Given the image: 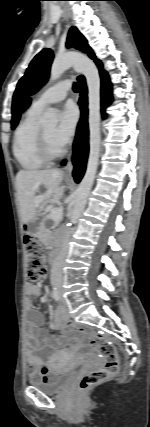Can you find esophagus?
Wrapping results in <instances>:
<instances>
[{
	"mask_svg": "<svg viewBox=\"0 0 150 427\" xmlns=\"http://www.w3.org/2000/svg\"><path fill=\"white\" fill-rule=\"evenodd\" d=\"M72 155L73 152H71L67 158V163L64 169V175L67 178H72V172H73V163H72Z\"/></svg>",
	"mask_w": 150,
	"mask_h": 427,
	"instance_id": "esophagus-1",
	"label": "esophagus"
}]
</instances>
